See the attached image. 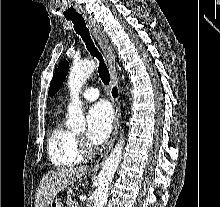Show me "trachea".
Here are the masks:
<instances>
[{
	"label": "trachea",
	"mask_w": 220,
	"mask_h": 207,
	"mask_svg": "<svg viewBox=\"0 0 220 207\" xmlns=\"http://www.w3.org/2000/svg\"><path fill=\"white\" fill-rule=\"evenodd\" d=\"M67 19L72 21V23L74 25V30L76 31V33L78 35L81 36V38L83 39L90 54L93 57H96L98 59V61H99V67H98L99 76H100L102 82L105 85H108L109 81H110V74H109L108 68L104 62V59H103L101 53L95 47V45L92 41V38L90 36V32H89L88 28L86 27V23H85L84 18L82 16H76V17H71V18H67Z\"/></svg>",
	"instance_id": "1"
}]
</instances>
